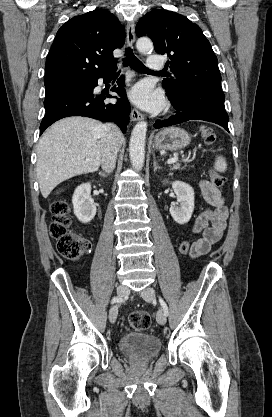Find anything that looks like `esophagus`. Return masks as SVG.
<instances>
[{
	"label": "esophagus",
	"mask_w": 272,
	"mask_h": 417,
	"mask_svg": "<svg viewBox=\"0 0 272 417\" xmlns=\"http://www.w3.org/2000/svg\"><path fill=\"white\" fill-rule=\"evenodd\" d=\"M126 38L129 46L133 47L135 43V24L133 21H129L126 27ZM142 118V114L136 109L133 108L131 111V120L137 122Z\"/></svg>",
	"instance_id": "34e87169"
}]
</instances>
